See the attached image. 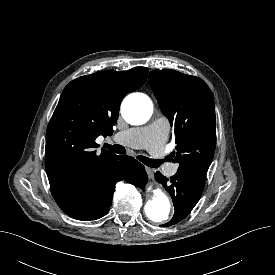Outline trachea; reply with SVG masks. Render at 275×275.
I'll return each mask as SVG.
<instances>
[{"mask_svg":"<svg viewBox=\"0 0 275 275\" xmlns=\"http://www.w3.org/2000/svg\"><path fill=\"white\" fill-rule=\"evenodd\" d=\"M104 147L114 153H117V154H125L126 153V149L123 146L118 145V144L110 145V144L105 143ZM137 159L139 161H141L143 164H145L146 166H149L152 168H157L161 164L160 160L150 159V158L142 156V155L137 156Z\"/></svg>","mask_w":275,"mask_h":275,"instance_id":"trachea-1","label":"trachea"}]
</instances>
